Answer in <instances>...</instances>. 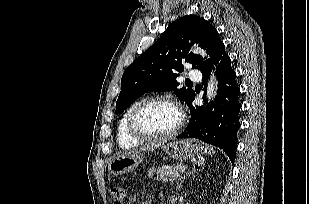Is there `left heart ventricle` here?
Here are the masks:
<instances>
[{
  "instance_id": "obj_1",
  "label": "left heart ventricle",
  "mask_w": 309,
  "mask_h": 204,
  "mask_svg": "<svg viewBox=\"0 0 309 204\" xmlns=\"http://www.w3.org/2000/svg\"><path fill=\"white\" fill-rule=\"evenodd\" d=\"M179 120L177 110L165 104H154L145 108L139 115L140 127L155 135H160L172 130Z\"/></svg>"
}]
</instances>
